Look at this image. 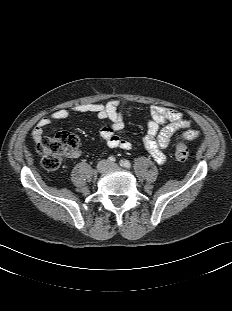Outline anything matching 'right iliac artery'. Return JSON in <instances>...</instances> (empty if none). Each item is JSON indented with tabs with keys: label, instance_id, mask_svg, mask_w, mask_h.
<instances>
[{
	"label": "right iliac artery",
	"instance_id": "right-iliac-artery-1",
	"mask_svg": "<svg viewBox=\"0 0 232 311\" xmlns=\"http://www.w3.org/2000/svg\"><path fill=\"white\" fill-rule=\"evenodd\" d=\"M108 161H109L110 163H113V162L115 161V157H114V156H110V157L108 158Z\"/></svg>",
	"mask_w": 232,
	"mask_h": 311
}]
</instances>
